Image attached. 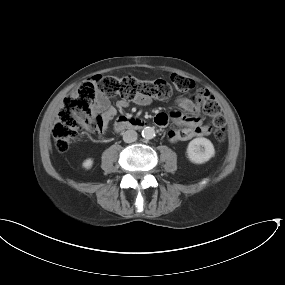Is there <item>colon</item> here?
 <instances>
[{
  "mask_svg": "<svg viewBox=\"0 0 285 285\" xmlns=\"http://www.w3.org/2000/svg\"><path fill=\"white\" fill-rule=\"evenodd\" d=\"M170 81L171 84L163 79L142 81L130 75L122 77L97 75L80 84L73 93L65 98L58 113L53 130L57 150L67 151L79 132L85 128L91 117L97 93L118 94L124 99H135L142 96L165 99L171 96L173 90L186 92L194 87L192 79L180 74L171 75ZM195 101L203 112L213 119V124L203 130V133L211 134L219 142L225 141L224 118L217 100L207 90L200 89L195 95ZM154 122L163 127L167 124L168 117L166 114L160 113L155 116ZM100 131L99 126L93 128L95 135L100 134Z\"/></svg>",
  "mask_w": 285,
  "mask_h": 285,
  "instance_id": "5ec220e1",
  "label": "colon"
}]
</instances>
